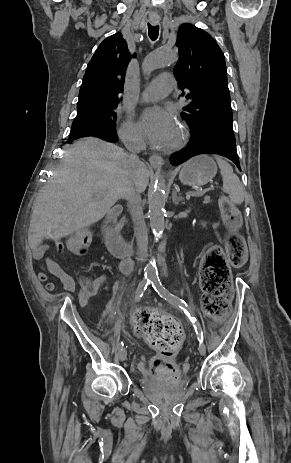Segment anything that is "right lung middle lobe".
Returning a JSON list of instances; mask_svg holds the SVG:
<instances>
[{
	"label": "right lung middle lobe",
	"mask_w": 291,
	"mask_h": 463,
	"mask_svg": "<svg viewBox=\"0 0 291 463\" xmlns=\"http://www.w3.org/2000/svg\"><path fill=\"white\" fill-rule=\"evenodd\" d=\"M116 107L117 105H111L95 112L76 117L72 123L70 136L67 142L97 134H117Z\"/></svg>",
	"instance_id": "obj_1"
}]
</instances>
